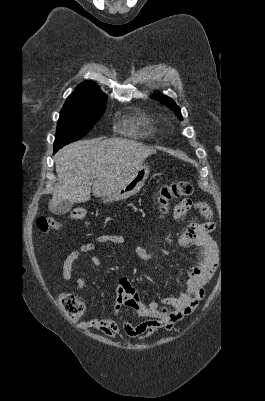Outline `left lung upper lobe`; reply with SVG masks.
<instances>
[{
	"instance_id": "1",
	"label": "left lung upper lobe",
	"mask_w": 265,
	"mask_h": 401,
	"mask_svg": "<svg viewBox=\"0 0 265 401\" xmlns=\"http://www.w3.org/2000/svg\"><path fill=\"white\" fill-rule=\"evenodd\" d=\"M151 97L154 98L155 100L161 102L162 104L166 105L171 110H173L174 113L178 116L179 120L183 119L182 115L180 113V108L175 104V102L171 98L164 96L162 94H155V95H152Z\"/></svg>"
}]
</instances>
